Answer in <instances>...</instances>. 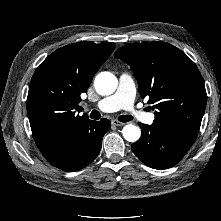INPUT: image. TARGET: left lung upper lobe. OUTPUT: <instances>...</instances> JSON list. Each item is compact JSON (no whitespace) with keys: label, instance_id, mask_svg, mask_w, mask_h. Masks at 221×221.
Segmentation results:
<instances>
[{"label":"left lung upper lobe","instance_id":"5c2ea615","mask_svg":"<svg viewBox=\"0 0 221 221\" xmlns=\"http://www.w3.org/2000/svg\"><path fill=\"white\" fill-rule=\"evenodd\" d=\"M114 55L130 65L141 97L156 109L154 121L199 132L207 95L198 68L184 52L164 42H143Z\"/></svg>","mask_w":221,"mask_h":221}]
</instances>
